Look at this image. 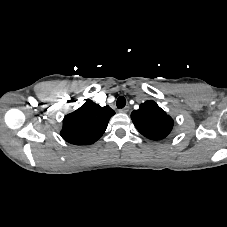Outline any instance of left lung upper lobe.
<instances>
[{
  "mask_svg": "<svg viewBox=\"0 0 227 227\" xmlns=\"http://www.w3.org/2000/svg\"><path fill=\"white\" fill-rule=\"evenodd\" d=\"M131 119L137 130L151 140L164 139L173 128V119L152 100L134 110Z\"/></svg>",
  "mask_w": 227,
  "mask_h": 227,
  "instance_id": "obj_1",
  "label": "left lung upper lobe"
}]
</instances>
